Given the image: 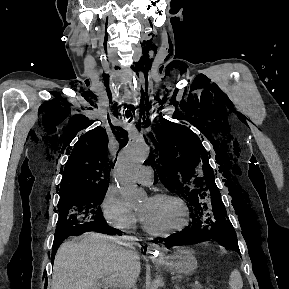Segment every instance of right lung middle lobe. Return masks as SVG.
Returning a JSON list of instances; mask_svg holds the SVG:
<instances>
[{
	"label": "right lung middle lobe",
	"mask_w": 289,
	"mask_h": 289,
	"mask_svg": "<svg viewBox=\"0 0 289 289\" xmlns=\"http://www.w3.org/2000/svg\"><path fill=\"white\" fill-rule=\"evenodd\" d=\"M107 189L61 197L55 237L67 236L72 231L105 223L100 205Z\"/></svg>",
	"instance_id": "dd1d6c3e"
}]
</instances>
